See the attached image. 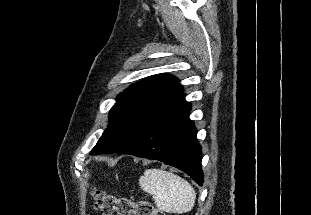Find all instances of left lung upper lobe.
Segmentation results:
<instances>
[{"label":"left lung upper lobe","mask_w":311,"mask_h":215,"mask_svg":"<svg viewBox=\"0 0 311 215\" xmlns=\"http://www.w3.org/2000/svg\"><path fill=\"white\" fill-rule=\"evenodd\" d=\"M183 91L176 77L164 73L131 85L117 96L109 112L108 127L90 154L119 152L156 113Z\"/></svg>","instance_id":"5c2ea615"}]
</instances>
